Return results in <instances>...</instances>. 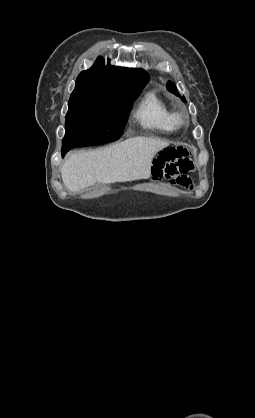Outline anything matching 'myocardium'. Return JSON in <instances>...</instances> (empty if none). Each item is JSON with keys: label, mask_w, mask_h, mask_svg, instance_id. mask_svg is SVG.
I'll use <instances>...</instances> for the list:
<instances>
[{"label": "myocardium", "mask_w": 255, "mask_h": 418, "mask_svg": "<svg viewBox=\"0 0 255 418\" xmlns=\"http://www.w3.org/2000/svg\"><path fill=\"white\" fill-rule=\"evenodd\" d=\"M186 121L185 114L181 111H175L172 114V122L175 127H181Z\"/></svg>", "instance_id": "f54148a6"}]
</instances>
